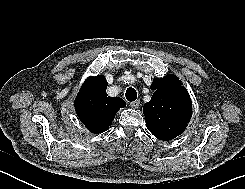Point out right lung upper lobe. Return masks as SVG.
<instances>
[{
    "label": "right lung upper lobe",
    "instance_id": "cb5924a9",
    "mask_svg": "<svg viewBox=\"0 0 245 189\" xmlns=\"http://www.w3.org/2000/svg\"><path fill=\"white\" fill-rule=\"evenodd\" d=\"M106 88L104 76L89 77L74 102L78 117L92 133L106 131L117 111L126 106L122 98L108 96Z\"/></svg>",
    "mask_w": 245,
    "mask_h": 189
}]
</instances>
